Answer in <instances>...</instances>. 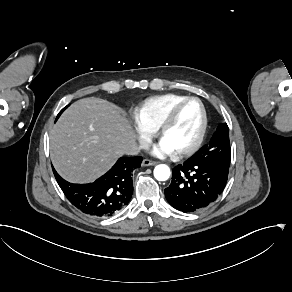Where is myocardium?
<instances>
[{"mask_svg":"<svg viewBox=\"0 0 292 292\" xmlns=\"http://www.w3.org/2000/svg\"><path fill=\"white\" fill-rule=\"evenodd\" d=\"M188 102H196L199 105L200 108V121H199V126L197 129V132L191 141L190 144L183 148L179 149H174L178 154L181 155H187L190 153H193L194 151L197 150L199 145L201 144L204 134H205V129H206V123H207V116H206V110L205 107L202 103V101L196 97H186L177 103H175L172 107L169 108L165 116L163 117L159 127H158V135L161 138H164L165 132L169 125L173 122L175 119L176 115L180 111V109Z\"/></svg>","mask_w":292,"mask_h":292,"instance_id":"1","label":"myocardium"}]
</instances>
